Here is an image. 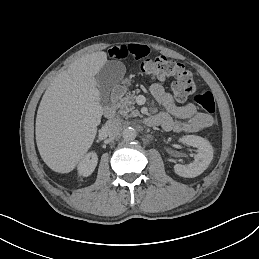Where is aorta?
<instances>
[{"mask_svg":"<svg viewBox=\"0 0 259 259\" xmlns=\"http://www.w3.org/2000/svg\"><path fill=\"white\" fill-rule=\"evenodd\" d=\"M122 135H123L124 140L130 142L136 138L137 132L133 127H126L123 130Z\"/></svg>","mask_w":259,"mask_h":259,"instance_id":"aorta-1","label":"aorta"}]
</instances>
